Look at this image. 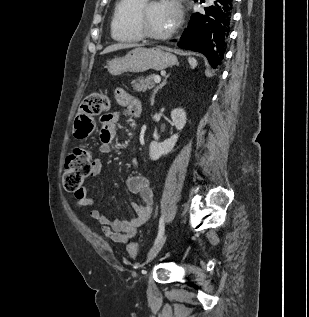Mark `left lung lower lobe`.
<instances>
[{
	"instance_id": "1",
	"label": "left lung lower lobe",
	"mask_w": 309,
	"mask_h": 317,
	"mask_svg": "<svg viewBox=\"0 0 309 317\" xmlns=\"http://www.w3.org/2000/svg\"><path fill=\"white\" fill-rule=\"evenodd\" d=\"M235 0H212L203 13L190 17L178 47L204 54L211 67L221 65L232 22Z\"/></svg>"
}]
</instances>
